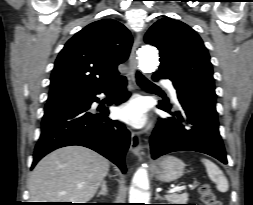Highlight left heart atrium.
Segmentation results:
<instances>
[{"label":"left heart atrium","instance_id":"1","mask_svg":"<svg viewBox=\"0 0 253 205\" xmlns=\"http://www.w3.org/2000/svg\"><path fill=\"white\" fill-rule=\"evenodd\" d=\"M120 119L134 127H142L147 121V108L144 102L134 97L118 108Z\"/></svg>","mask_w":253,"mask_h":205}]
</instances>
